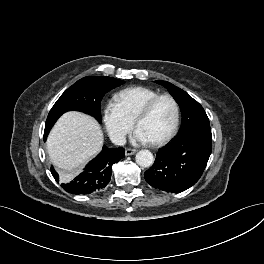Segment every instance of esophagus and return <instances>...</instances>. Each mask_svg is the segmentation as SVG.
Returning a JSON list of instances; mask_svg holds the SVG:
<instances>
[{"label":"esophagus","instance_id":"esophagus-1","mask_svg":"<svg viewBox=\"0 0 264 264\" xmlns=\"http://www.w3.org/2000/svg\"><path fill=\"white\" fill-rule=\"evenodd\" d=\"M136 151H137L136 149L127 148V149L125 150V155H126V156L133 155V154L136 153Z\"/></svg>","mask_w":264,"mask_h":264}]
</instances>
